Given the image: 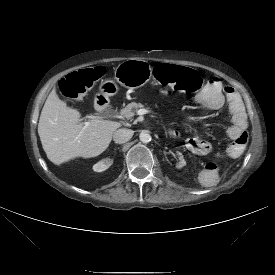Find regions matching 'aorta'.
<instances>
[{
    "label": "aorta",
    "mask_w": 275,
    "mask_h": 275,
    "mask_svg": "<svg viewBox=\"0 0 275 275\" xmlns=\"http://www.w3.org/2000/svg\"><path fill=\"white\" fill-rule=\"evenodd\" d=\"M140 141L143 143H149L151 141V136L147 132H141L139 135Z\"/></svg>",
    "instance_id": "1"
}]
</instances>
